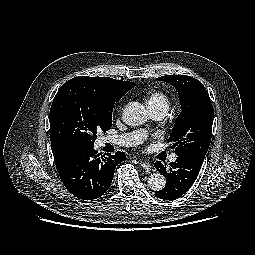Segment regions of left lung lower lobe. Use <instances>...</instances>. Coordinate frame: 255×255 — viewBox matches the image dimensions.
<instances>
[{
	"label": "left lung lower lobe",
	"mask_w": 255,
	"mask_h": 255,
	"mask_svg": "<svg viewBox=\"0 0 255 255\" xmlns=\"http://www.w3.org/2000/svg\"><path fill=\"white\" fill-rule=\"evenodd\" d=\"M203 161L193 157L178 156L170 163L169 169L160 161L155 162V168L165 176V187L155 192V196L163 200H174L186 193L196 180Z\"/></svg>",
	"instance_id": "left-lung-lower-lobe-1"
}]
</instances>
